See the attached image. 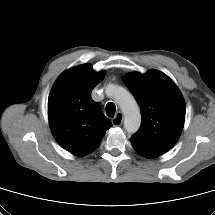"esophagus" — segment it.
<instances>
[{
    "label": "esophagus",
    "instance_id": "obj_1",
    "mask_svg": "<svg viewBox=\"0 0 215 215\" xmlns=\"http://www.w3.org/2000/svg\"><path fill=\"white\" fill-rule=\"evenodd\" d=\"M123 122V114L118 112L115 117L112 119V124L114 126H120Z\"/></svg>",
    "mask_w": 215,
    "mask_h": 215
}]
</instances>
